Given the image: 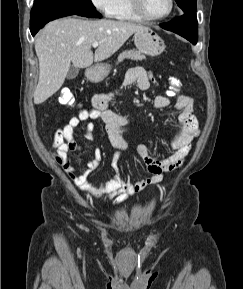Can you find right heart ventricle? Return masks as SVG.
I'll return each instance as SVG.
<instances>
[{
	"label": "right heart ventricle",
	"mask_w": 243,
	"mask_h": 289,
	"mask_svg": "<svg viewBox=\"0 0 243 289\" xmlns=\"http://www.w3.org/2000/svg\"><path fill=\"white\" fill-rule=\"evenodd\" d=\"M109 16L121 21L141 22L143 20L133 10L131 0H115Z\"/></svg>",
	"instance_id": "right-heart-ventricle-1"
}]
</instances>
